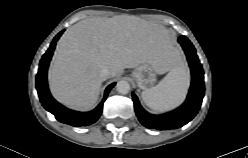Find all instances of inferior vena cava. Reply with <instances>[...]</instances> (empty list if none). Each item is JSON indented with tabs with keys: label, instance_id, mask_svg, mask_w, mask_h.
<instances>
[{
	"label": "inferior vena cava",
	"instance_id": "602c4592",
	"mask_svg": "<svg viewBox=\"0 0 248 158\" xmlns=\"http://www.w3.org/2000/svg\"><path fill=\"white\" fill-rule=\"evenodd\" d=\"M110 70L108 69V68H103V69H101V71H100V78L102 79V80H106V79H108L109 77H110Z\"/></svg>",
	"mask_w": 248,
	"mask_h": 158
}]
</instances>
